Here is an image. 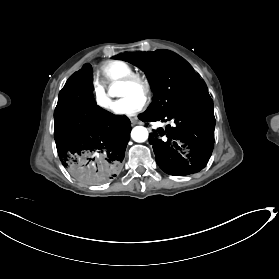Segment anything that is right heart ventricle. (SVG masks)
<instances>
[{
    "label": "right heart ventricle",
    "instance_id": "obj_1",
    "mask_svg": "<svg viewBox=\"0 0 279 279\" xmlns=\"http://www.w3.org/2000/svg\"><path fill=\"white\" fill-rule=\"evenodd\" d=\"M98 74L102 77V84L114 87L127 75L134 73V69L125 61L109 60L101 64Z\"/></svg>",
    "mask_w": 279,
    "mask_h": 279
}]
</instances>
